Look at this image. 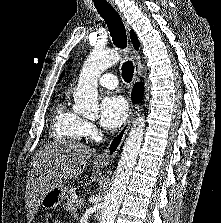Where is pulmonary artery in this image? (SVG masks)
I'll return each instance as SVG.
<instances>
[{
	"mask_svg": "<svg viewBox=\"0 0 221 223\" xmlns=\"http://www.w3.org/2000/svg\"><path fill=\"white\" fill-rule=\"evenodd\" d=\"M99 84L108 89H115L118 85L117 78L112 73H104L99 78Z\"/></svg>",
	"mask_w": 221,
	"mask_h": 223,
	"instance_id": "obj_1",
	"label": "pulmonary artery"
}]
</instances>
